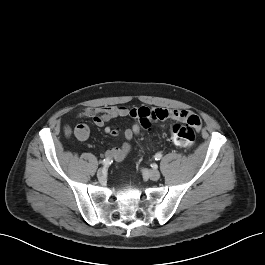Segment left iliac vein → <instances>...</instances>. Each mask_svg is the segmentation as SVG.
Segmentation results:
<instances>
[{
  "instance_id": "1",
  "label": "left iliac vein",
  "mask_w": 265,
  "mask_h": 265,
  "mask_svg": "<svg viewBox=\"0 0 265 265\" xmlns=\"http://www.w3.org/2000/svg\"><path fill=\"white\" fill-rule=\"evenodd\" d=\"M142 173L149 179L157 181L160 178V172L158 170L142 169Z\"/></svg>"
}]
</instances>
